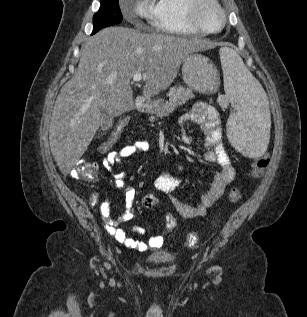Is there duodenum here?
<instances>
[{"label": "duodenum", "instance_id": "410a0bca", "mask_svg": "<svg viewBox=\"0 0 307 317\" xmlns=\"http://www.w3.org/2000/svg\"><path fill=\"white\" fill-rule=\"evenodd\" d=\"M147 105V102L144 98H137L135 101L134 109L136 112L142 111Z\"/></svg>", "mask_w": 307, "mask_h": 317}]
</instances>
